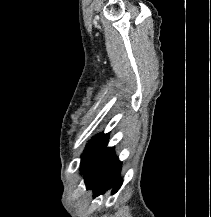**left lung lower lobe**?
Here are the masks:
<instances>
[{
  "instance_id": "1",
  "label": "left lung lower lobe",
  "mask_w": 211,
  "mask_h": 217,
  "mask_svg": "<svg viewBox=\"0 0 211 217\" xmlns=\"http://www.w3.org/2000/svg\"><path fill=\"white\" fill-rule=\"evenodd\" d=\"M121 170V162L116 158L113 147L107 144L95 155L87 165L84 174L86 187L94 191V197L104 194L111 186H115L112 194L117 192L122 181H117Z\"/></svg>"
}]
</instances>
